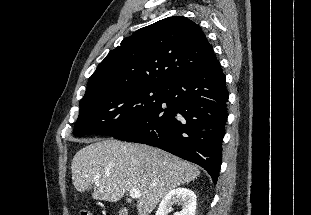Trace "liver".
<instances>
[{"label": "liver", "instance_id": "1", "mask_svg": "<svg viewBox=\"0 0 311 215\" xmlns=\"http://www.w3.org/2000/svg\"><path fill=\"white\" fill-rule=\"evenodd\" d=\"M71 170L76 190L93 189L95 200L117 202L138 189L139 215L150 214L169 191L200 175L193 164L160 149L114 139L90 141L75 154Z\"/></svg>", "mask_w": 311, "mask_h": 215}]
</instances>
